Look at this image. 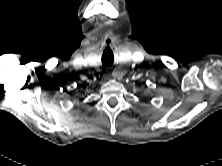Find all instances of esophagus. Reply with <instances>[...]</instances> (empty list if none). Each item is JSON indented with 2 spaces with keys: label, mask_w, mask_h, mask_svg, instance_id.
<instances>
[{
  "label": "esophagus",
  "mask_w": 222,
  "mask_h": 166,
  "mask_svg": "<svg viewBox=\"0 0 222 166\" xmlns=\"http://www.w3.org/2000/svg\"><path fill=\"white\" fill-rule=\"evenodd\" d=\"M122 75H123L122 72H113V74H112L113 77L118 78V79L121 78Z\"/></svg>",
  "instance_id": "1"
}]
</instances>
